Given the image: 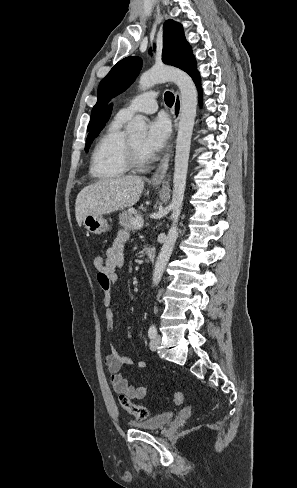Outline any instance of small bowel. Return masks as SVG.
<instances>
[{"label": "small bowel", "instance_id": "1", "mask_svg": "<svg viewBox=\"0 0 297 488\" xmlns=\"http://www.w3.org/2000/svg\"><path fill=\"white\" fill-rule=\"evenodd\" d=\"M129 237L128 231H118L113 244L106 250L103 267L97 272V281L104 294L105 318L109 333L113 332L112 322L114 317L111 307V288L118 281L117 270L124 265V245L129 240ZM105 363L110 373L111 385L116 393L133 400H140L145 397L147 387L145 385H130L128 378L122 371L123 366L135 364L132 358L120 354L116 349H111L105 358ZM136 364L139 368L147 366L144 360H139Z\"/></svg>", "mask_w": 297, "mask_h": 488}]
</instances>
